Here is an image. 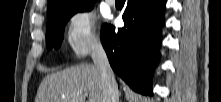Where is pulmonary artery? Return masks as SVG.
<instances>
[{"instance_id":"obj_1","label":"pulmonary artery","mask_w":221,"mask_h":102,"mask_svg":"<svg viewBox=\"0 0 221 102\" xmlns=\"http://www.w3.org/2000/svg\"><path fill=\"white\" fill-rule=\"evenodd\" d=\"M115 2H116L115 0H106V3L111 6H113Z\"/></svg>"}]
</instances>
